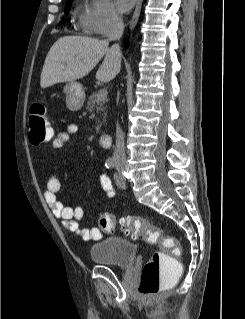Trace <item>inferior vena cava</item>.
I'll return each mask as SVG.
<instances>
[{
	"label": "inferior vena cava",
	"instance_id": "obj_1",
	"mask_svg": "<svg viewBox=\"0 0 245 319\" xmlns=\"http://www.w3.org/2000/svg\"><path fill=\"white\" fill-rule=\"evenodd\" d=\"M124 30V23L121 16L117 13L113 14L111 21V31L109 33L108 41L120 40ZM111 49L121 57V50L119 44H113ZM114 160L115 162H125V142L124 133L119 125L116 124V144L114 149Z\"/></svg>",
	"mask_w": 245,
	"mask_h": 319
}]
</instances>
